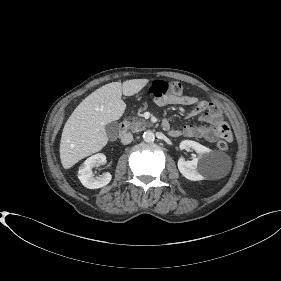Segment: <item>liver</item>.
<instances>
[{
    "mask_svg": "<svg viewBox=\"0 0 281 281\" xmlns=\"http://www.w3.org/2000/svg\"><path fill=\"white\" fill-rule=\"evenodd\" d=\"M148 81L133 79L106 84L76 107L64 125L60 141V159L64 169L71 168L107 144L106 125L120 119L126 109L122 94H137Z\"/></svg>",
    "mask_w": 281,
    "mask_h": 281,
    "instance_id": "obj_1",
    "label": "liver"
}]
</instances>
